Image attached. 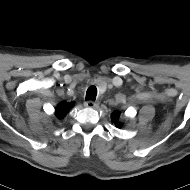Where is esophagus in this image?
Here are the masks:
<instances>
[{
	"label": "esophagus",
	"mask_w": 190,
	"mask_h": 190,
	"mask_svg": "<svg viewBox=\"0 0 190 190\" xmlns=\"http://www.w3.org/2000/svg\"><path fill=\"white\" fill-rule=\"evenodd\" d=\"M84 106L88 108H95L97 106V103L95 101L88 100L84 103Z\"/></svg>",
	"instance_id": "1"
}]
</instances>
